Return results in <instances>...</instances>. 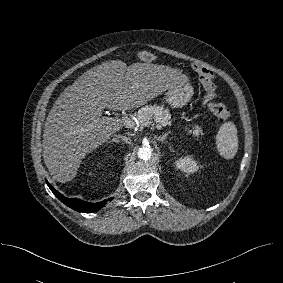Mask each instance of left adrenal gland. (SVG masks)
Instances as JSON below:
<instances>
[{
    "instance_id": "left-adrenal-gland-1",
    "label": "left adrenal gland",
    "mask_w": 283,
    "mask_h": 283,
    "mask_svg": "<svg viewBox=\"0 0 283 283\" xmlns=\"http://www.w3.org/2000/svg\"><path fill=\"white\" fill-rule=\"evenodd\" d=\"M170 133H171V132L169 131V132H167V133H164V134L160 135L159 137H157V140L160 141V142H162V143H164L165 140H166V138H167V136H168Z\"/></svg>"
}]
</instances>
